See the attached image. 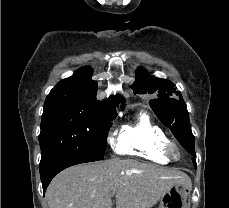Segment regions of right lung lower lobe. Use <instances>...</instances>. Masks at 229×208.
<instances>
[{"instance_id":"right-lung-lower-lobe-1","label":"right lung lower lobe","mask_w":229,"mask_h":208,"mask_svg":"<svg viewBox=\"0 0 229 208\" xmlns=\"http://www.w3.org/2000/svg\"><path fill=\"white\" fill-rule=\"evenodd\" d=\"M96 161L95 159L75 155V154H63L54 158L50 163L44 165L43 167H39L41 182L43 185V191L45 192L48 187L50 181L63 169L86 162Z\"/></svg>"}]
</instances>
